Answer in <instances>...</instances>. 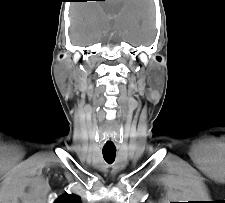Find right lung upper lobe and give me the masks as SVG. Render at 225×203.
Returning <instances> with one entry per match:
<instances>
[{"instance_id": "right-lung-upper-lobe-1", "label": "right lung upper lobe", "mask_w": 225, "mask_h": 203, "mask_svg": "<svg viewBox=\"0 0 225 203\" xmlns=\"http://www.w3.org/2000/svg\"><path fill=\"white\" fill-rule=\"evenodd\" d=\"M54 203H81V199L74 194H65L59 197Z\"/></svg>"}]
</instances>
